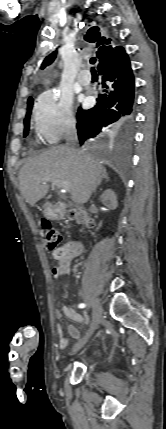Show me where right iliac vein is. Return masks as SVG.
I'll use <instances>...</instances> for the list:
<instances>
[{
	"instance_id": "obj_1",
	"label": "right iliac vein",
	"mask_w": 166,
	"mask_h": 429,
	"mask_svg": "<svg viewBox=\"0 0 166 429\" xmlns=\"http://www.w3.org/2000/svg\"><path fill=\"white\" fill-rule=\"evenodd\" d=\"M101 320V309L99 307V305L94 302L93 304V312H92V322L91 325L89 327V330L87 331L86 335L83 337V339L81 341H79L73 348V353L77 352L78 350H80L84 344L88 341V339L91 337V335L93 334V332L97 329L99 323Z\"/></svg>"
}]
</instances>
